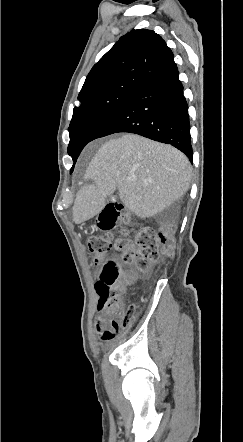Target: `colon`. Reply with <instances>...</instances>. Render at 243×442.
<instances>
[{"label":"colon","instance_id":"5ec220e1","mask_svg":"<svg viewBox=\"0 0 243 442\" xmlns=\"http://www.w3.org/2000/svg\"><path fill=\"white\" fill-rule=\"evenodd\" d=\"M131 222L125 207L118 200H109L96 218L100 233L92 235L88 240L97 277L95 290L99 296L98 309L109 307L113 309L114 315L110 329L102 335L104 341L114 339L120 330L127 329L136 316L133 304L125 309L121 307L124 288L135 281L136 274L133 270L122 271L120 265L110 257L111 248L114 247L121 254L124 264L134 265L142 274L149 271L153 261L161 256L169 257L174 251L173 233L166 228L155 230L145 227L136 233L134 240L123 230L120 236L114 238L112 230L118 226H128Z\"/></svg>","mask_w":243,"mask_h":442}]
</instances>
